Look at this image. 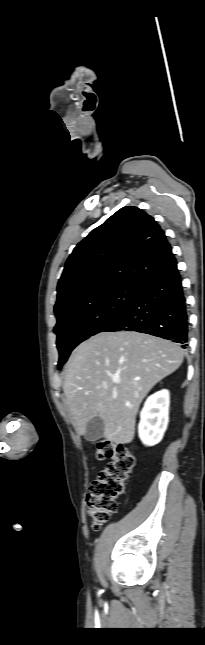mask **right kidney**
Returning <instances> with one entry per match:
<instances>
[{"label": "right kidney", "mask_w": 205, "mask_h": 645, "mask_svg": "<svg viewBox=\"0 0 205 645\" xmlns=\"http://www.w3.org/2000/svg\"><path fill=\"white\" fill-rule=\"evenodd\" d=\"M170 395L168 390H161L149 396L140 413L138 434L147 446L158 444L167 429L169 422Z\"/></svg>", "instance_id": "obj_1"}]
</instances>
